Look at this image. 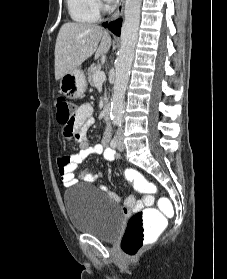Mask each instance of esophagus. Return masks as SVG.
Instances as JSON below:
<instances>
[{
  "label": "esophagus",
  "mask_w": 227,
  "mask_h": 279,
  "mask_svg": "<svg viewBox=\"0 0 227 279\" xmlns=\"http://www.w3.org/2000/svg\"><path fill=\"white\" fill-rule=\"evenodd\" d=\"M124 5H125V0H120L114 14L112 15L111 20H116L122 16Z\"/></svg>",
  "instance_id": "esophagus-1"
}]
</instances>
